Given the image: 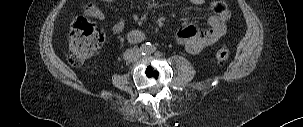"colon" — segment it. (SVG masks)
<instances>
[{"label":"colon","mask_w":303,"mask_h":127,"mask_svg":"<svg viewBox=\"0 0 303 127\" xmlns=\"http://www.w3.org/2000/svg\"><path fill=\"white\" fill-rule=\"evenodd\" d=\"M104 40L102 31L84 15L77 16L71 27L68 38L69 63L78 66L100 49ZM218 61H224L228 57V51L219 48L215 52Z\"/></svg>","instance_id":"colon-1"}]
</instances>
